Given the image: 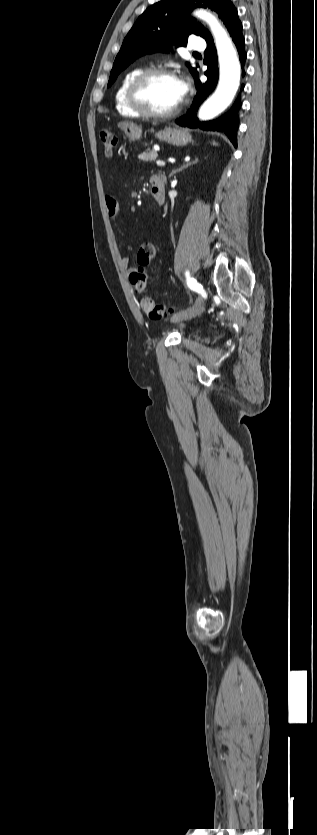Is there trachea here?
I'll use <instances>...</instances> for the list:
<instances>
[{"label":"trachea","mask_w":317,"mask_h":835,"mask_svg":"<svg viewBox=\"0 0 317 835\" xmlns=\"http://www.w3.org/2000/svg\"><path fill=\"white\" fill-rule=\"evenodd\" d=\"M198 54H199V53H197V52H194V55H198Z\"/></svg>","instance_id":"obj_1"}]
</instances>
